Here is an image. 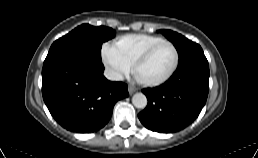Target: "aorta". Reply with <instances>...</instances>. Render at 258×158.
Listing matches in <instances>:
<instances>
[{
    "label": "aorta",
    "mask_w": 258,
    "mask_h": 158,
    "mask_svg": "<svg viewBox=\"0 0 258 158\" xmlns=\"http://www.w3.org/2000/svg\"><path fill=\"white\" fill-rule=\"evenodd\" d=\"M132 102L137 108H144L147 105V98L143 93H135Z\"/></svg>",
    "instance_id": "1"
}]
</instances>
